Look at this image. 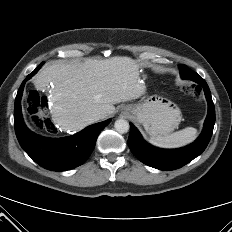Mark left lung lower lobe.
Here are the masks:
<instances>
[{
	"instance_id": "left-lung-lower-lobe-1",
	"label": "left lung lower lobe",
	"mask_w": 232,
	"mask_h": 232,
	"mask_svg": "<svg viewBox=\"0 0 232 232\" xmlns=\"http://www.w3.org/2000/svg\"><path fill=\"white\" fill-rule=\"evenodd\" d=\"M180 74L183 79L197 82L199 84L197 87L204 89L208 101V114L199 138L194 143L180 149H159L147 144L138 130L130 124L128 145L132 153L142 163L165 171L178 169L199 156L207 147L215 124V107L206 81L184 65H180Z\"/></svg>"
}]
</instances>
